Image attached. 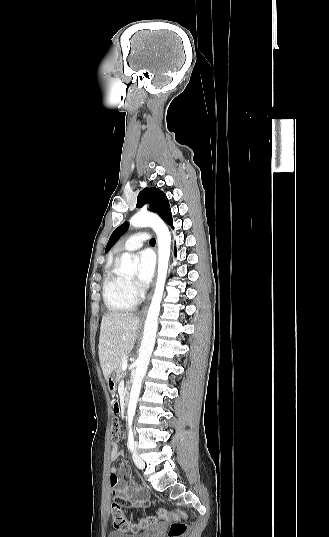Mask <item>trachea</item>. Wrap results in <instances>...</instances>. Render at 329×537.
<instances>
[{
	"mask_svg": "<svg viewBox=\"0 0 329 537\" xmlns=\"http://www.w3.org/2000/svg\"><path fill=\"white\" fill-rule=\"evenodd\" d=\"M150 244H151V245H155V240H154V239H150Z\"/></svg>",
	"mask_w": 329,
	"mask_h": 537,
	"instance_id": "trachea-1",
	"label": "trachea"
}]
</instances>
